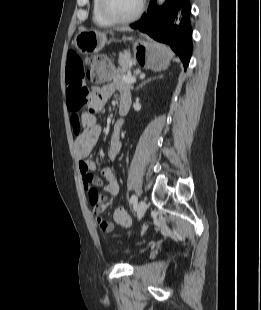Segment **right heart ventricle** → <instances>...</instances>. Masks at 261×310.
Instances as JSON below:
<instances>
[{
    "mask_svg": "<svg viewBox=\"0 0 261 310\" xmlns=\"http://www.w3.org/2000/svg\"><path fill=\"white\" fill-rule=\"evenodd\" d=\"M92 18L93 22L102 28H108L113 25V23L106 20L100 13L98 8V0H93L92 2Z\"/></svg>",
    "mask_w": 261,
    "mask_h": 310,
    "instance_id": "1",
    "label": "right heart ventricle"
}]
</instances>
